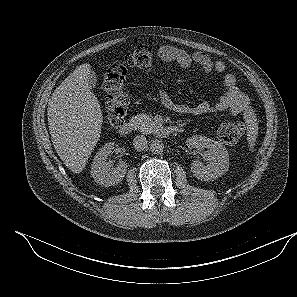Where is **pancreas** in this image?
Segmentation results:
<instances>
[{
  "label": "pancreas",
  "instance_id": "1",
  "mask_svg": "<svg viewBox=\"0 0 297 297\" xmlns=\"http://www.w3.org/2000/svg\"><path fill=\"white\" fill-rule=\"evenodd\" d=\"M131 121L135 124L136 128L144 134L153 133L158 128V125L147 114H137Z\"/></svg>",
  "mask_w": 297,
  "mask_h": 297
}]
</instances>
